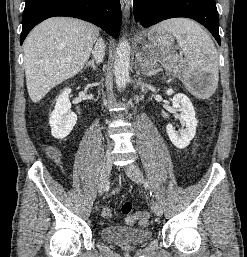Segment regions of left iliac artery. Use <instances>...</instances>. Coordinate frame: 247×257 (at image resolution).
I'll use <instances>...</instances> for the list:
<instances>
[{"instance_id": "44dca946", "label": "left iliac artery", "mask_w": 247, "mask_h": 257, "mask_svg": "<svg viewBox=\"0 0 247 257\" xmlns=\"http://www.w3.org/2000/svg\"><path fill=\"white\" fill-rule=\"evenodd\" d=\"M145 186H148V183H145ZM152 194V193H151Z\"/></svg>"}]
</instances>
